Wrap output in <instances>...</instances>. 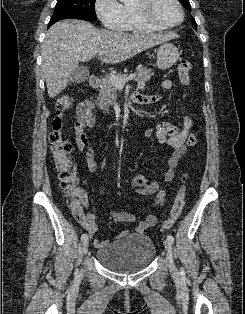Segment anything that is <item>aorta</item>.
Wrapping results in <instances>:
<instances>
[{"instance_id": "1", "label": "aorta", "mask_w": 245, "mask_h": 314, "mask_svg": "<svg viewBox=\"0 0 245 314\" xmlns=\"http://www.w3.org/2000/svg\"><path fill=\"white\" fill-rule=\"evenodd\" d=\"M120 1H121V2H124V3L127 2V0H120Z\"/></svg>"}]
</instances>
